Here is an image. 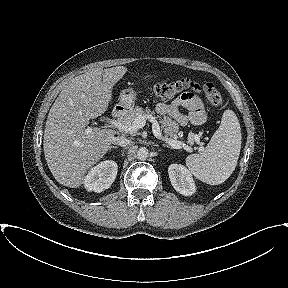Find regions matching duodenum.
<instances>
[{"label":"duodenum","mask_w":288,"mask_h":288,"mask_svg":"<svg viewBox=\"0 0 288 288\" xmlns=\"http://www.w3.org/2000/svg\"><path fill=\"white\" fill-rule=\"evenodd\" d=\"M125 113V109L123 107H116L112 112V117L115 119L120 118Z\"/></svg>","instance_id":"1"}]
</instances>
